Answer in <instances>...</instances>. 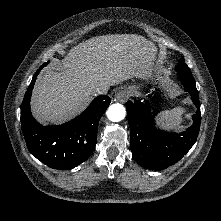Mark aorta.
I'll return each instance as SVG.
<instances>
[{
  "label": "aorta",
  "mask_w": 221,
  "mask_h": 221,
  "mask_svg": "<svg viewBox=\"0 0 221 221\" xmlns=\"http://www.w3.org/2000/svg\"><path fill=\"white\" fill-rule=\"evenodd\" d=\"M106 114L110 121L119 122L124 119L126 110L122 104L116 103L109 106Z\"/></svg>",
  "instance_id": "762f6f07"
}]
</instances>
